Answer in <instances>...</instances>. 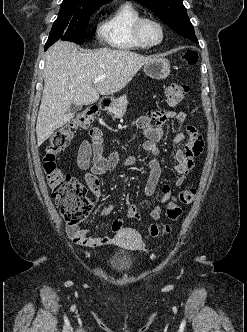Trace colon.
Here are the masks:
<instances>
[{
    "mask_svg": "<svg viewBox=\"0 0 247 332\" xmlns=\"http://www.w3.org/2000/svg\"><path fill=\"white\" fill-rule=\"evenodd\" d=\"M184 60L189 65H194L198 55L194 50H187L183 54ZM189 91L188 85L171 84L167 87L166 103L170 107L180 104ZM96 113L94 107L81 110L75 118L67 125L59 128L51 136L49 144L43 157V169L47 177L51 195L60 208V212L68 225H77L86 219L92 211V203L87 196L86 187L74 176L65 173L57 164L60 153L69 145L74 133L77 130L87 128ZM196 190L193 187L183 189L178 196L168 202L166 216L170 221L178 220L182 215V208L179 203L189 204L193 202ZM123 227V221L116 218L112 222V231L119 232ZM170 225L154 224L150 227V234L158 237L161 234L170 232Z\"/></svg>",
    "mask_w": 247,
    "mask_h": 332,
    "instance_id": "5ec220e1",
    "label": "colon"
}]
</instances>
